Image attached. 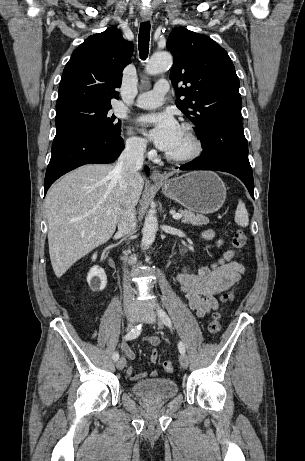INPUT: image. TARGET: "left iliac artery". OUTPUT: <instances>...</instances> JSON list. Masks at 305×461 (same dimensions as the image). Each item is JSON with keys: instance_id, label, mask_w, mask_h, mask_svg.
Wrapping results in <instances>:
<instances>
[{"instance_id": "obj_1", "label": "left iliac artery", "mask_w": 305, "mask_h": 461, "mask_svg": "<svg viewBox=\"0 0 305 461\" xmlns=\"http://www.w3.org/2000/svg\"><path fill=\"white\" fill-rule=\"evenodd\" d=\"M158 316L160 317V319L162 320V322L168 326L169 328L172 327V322L169 318V316L166 314V312L164 310H162L161 308H158ZM178 349H179V352L182 354V353H185V346L183 344V342L179 341L178 343Z\"/></svg>"}]
</instances>
